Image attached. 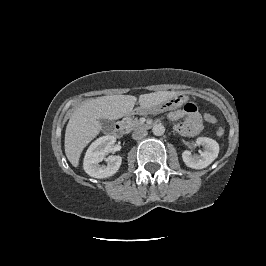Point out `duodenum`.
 I'll return each instance as SVG.
<instances>
[{"label":"duodenum","instance_id":"410a0bca","mask_svg":"<svg viewBox=\"0 0 266 266\" xmlns=\"http://www.w3.org/2000/svg\"><path fill=\"white\" fill-rule=\"evenodd\" d=\"M137 111H134V114H136ZM114 133L117 137H121L124 134V124L122 122H118L115 125Z\"/></svg>","mask_w":266,"mask_h":266}]
</instances>
